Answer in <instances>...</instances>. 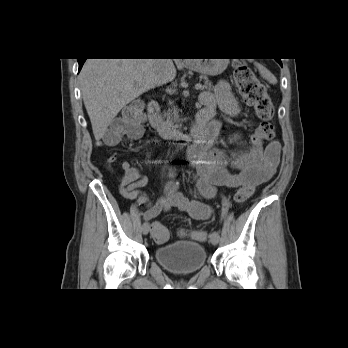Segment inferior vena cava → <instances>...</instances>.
Returning <instances> with one entry per match:
<instances>
[{"instance_id": "obj_1", "label": "inferior vena cava", "mask_w": 348, "mask_h": 348, "mask_svg": "<svg viewBox=\"0 0 348 348\" xmlns=\"http://www.w3.org/2000/svg\"><path fill=\"white\" fill-rule=\"evenodd\" d=\"M168 60L169 59H155L157 68L159 70H162Z\"/></svg>"}]
</instances>
